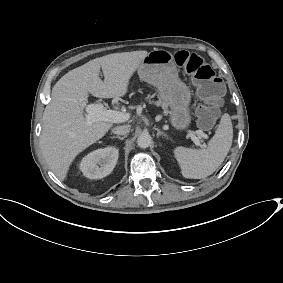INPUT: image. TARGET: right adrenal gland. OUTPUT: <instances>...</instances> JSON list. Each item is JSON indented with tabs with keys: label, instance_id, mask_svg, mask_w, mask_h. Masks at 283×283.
<instances>
[{
	"label": "right adrenal gland",
	"instance_id": "1",
	"mask_svg": "<svg viewBox=\"0 0 283 283\" xmlns=\"http://www.w3.org/2000/svg\"><path fill=\"white\" fill-rule=\"evenodd\" d=\"M126 137H127V135H124V136H122V137H121V136H118V135H117V136H111V138H119V139H121V140L124 139V138H126Z\"/></svg>",
	"mask_w": 283,
	"mask_h": 283
}]
</instances>
